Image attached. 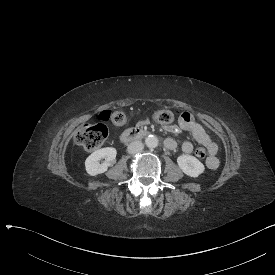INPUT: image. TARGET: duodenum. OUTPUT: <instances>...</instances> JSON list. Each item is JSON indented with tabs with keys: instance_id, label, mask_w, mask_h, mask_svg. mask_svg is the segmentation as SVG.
I'll return each mask as SVG.
<instances>
[{
	"instance_id": "obj_1",
	"label": "duodenum",
	"mask_w": 275,
	"mask_h": 275,
	"mask_svg": "<svg viewBox=\"0 0 275 275\" xmlns=\"http://www.w3.org/2000/svg\"><path fill=\"white\" fill-rule=\"evenodd\" d=\"M148 131L143 128H134L126 130L122 133L120 139L123 143H131L146 136Z\"/></svg>"
}]
</instances>
